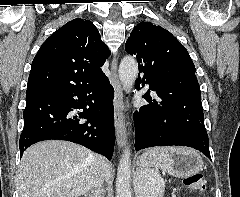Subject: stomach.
Masks as SVG:
<instances>
[{"instance_id":"1","label":"stomach","mask_w":240,"mask_h":197,"mask_svg":"<svg viewBox=\"0 0 240 197\" xmlns=\"http://www.w3.org/2000/svg\"><path fill=\"white\" fill-rule=\"evenodd\" d=\"M136 164L139 168L136 188L140 197H145L146 193L145 172L154 167H161L177 178L191 176L203 168V161L199 154L187 148H176L165 158L150 149L137 158Z\"/></svg>"}]
</instances>
